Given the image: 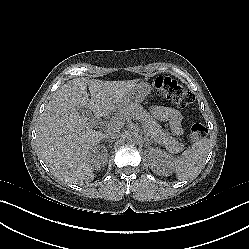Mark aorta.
<instances>
[{"mask_svg": "<svg viewBox=\"0 0 249 249\" xmlns=\"http://www.w3.org/2000/svg\"><path fill=\"white\" fill-rule=\"evenodd\" d=\"M139 139V136L137 133L131 132L128 133V135L126 136V141L129 144H135Z\"/></svg>", "mask_w": 249, "mask_h": 249, "instance_id": "762f6f07", "label": "aorta"}]
</instances>
